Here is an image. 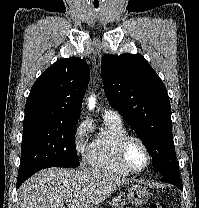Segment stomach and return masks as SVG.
Wrapping results in <instances>:
<instances>
[{
	"instance_id": "1",
	"label": "stomach",
	"mask_w": 199,
	"mask_h": 208,
	"mask_svg": "<svg viewBox=\"0 0 199 208\" xmlns=\"http://www.w3.org/2000/svg\"><path fill=\"white\" fill-rule=\"evenodd\" d=\"M149 199V191L141 185H133L127 193H120L113 197L109 204L112 208H124L125 205H142Z\"/></svg>"
}]
</instances>
